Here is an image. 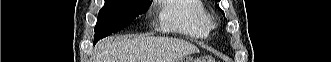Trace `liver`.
Returning <instances> with one entry per match:
<instances>
[{
    "label": "liver",
    "instance_id": "1",
    "mask_svg": "<svg viewBox=\"0 0 331 62\" xmlns=\"http://www.w3.org/2000/svg\"><path fill=\"white\" fill-rule=\"evenodd\" d=\"M197 51L190 42L177 38L119 36L98 44L94 62H177Z\"/></svg>",
    "mask_w": 331,
    "mask_h": 62
}]
</instances>
